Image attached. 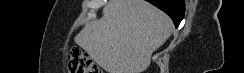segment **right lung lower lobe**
I'll list each match as a JSON object with an SVG mask.
<instances>
[{
  "label": "right lung lower lobe",
  "mask_w": 244,
  "mask_h": 73,
  "mask_svg": "<svg viewBox=\"0 0 244 73\" xmlns=\"http://www.w3.org/2000/svg\"><path fill=\"white\" fill-rule=\"evenodd\" d=\"M167 13L173 20L176 27L184 17V0H146Z\"/></svg>",
  "instance_id": "right-lung-lower-lobe-1"
}]
</instances>
